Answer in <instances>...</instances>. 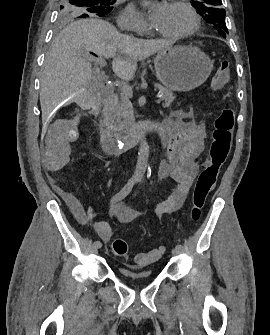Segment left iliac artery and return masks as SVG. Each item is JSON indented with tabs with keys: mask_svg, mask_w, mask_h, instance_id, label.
Returning <instances> with one entry per match:
<instances>
[{
	"mask_svg": "<svg viewBox=\"0 0 270 335\" xmlns=\"http://www.w3.org/2000/svg\"><path fill=\"white\" fill-rule=\"evenodd\" d=\"M175 248H177L180 251L183 250V246L181 244H177Z\"/></svg>",
	"mask_w": 270,
	"mask_h": 335,
	"instance_id": "obj_1",
	"label": "left iliac artery"
}]
</instances>
